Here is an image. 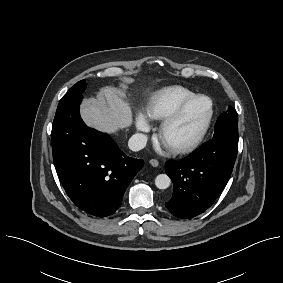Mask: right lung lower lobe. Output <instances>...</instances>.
I'll return each instance as SVG.
<instances>
[{"instance_id": "98d812e1", "label": "right lung lower lobe", "mask_w": 283, "mask_h": 283, "mask_svg": "<svg viewBox=\"0 0 283 283\" xmlns=\"http://www.w3.org/2000/svg\"><path fill=\"white\" fill-rule=\"evenodd\" d=\"M81 99L58 105L51 132L54 165L72 202L105 217L121 205L144 161L126 156L109 135L87 127L79 113Z\"/></svg>"}]
</instances>
